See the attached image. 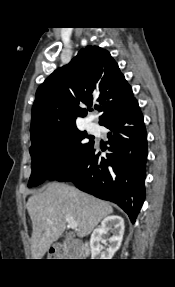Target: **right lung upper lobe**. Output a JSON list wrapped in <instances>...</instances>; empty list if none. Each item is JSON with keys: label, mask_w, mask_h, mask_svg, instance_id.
<instances>
[{"label": "right lung upper lobe", "mask_w": 175, "mask_h": 287, "mask_svg": "<svg viewBox=\"0 0 175 287\" xmlns=\"http://www.w3.org/2000/svg\"><path fill=\"white\" fill-rule=\"evenodd\" d=\"M134 100L131 86L110 53L98 46H87L38 88L32 108L31 141L76 128V118L87 114L80 105L99 102L95 108L101 121Z\"/></svg>", "instance_id": "right-lung-upper-lobe-1"}]
</instances>
